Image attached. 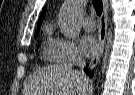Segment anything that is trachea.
<instances>
[{
	"instance_id": "obj_1",
	"label": "trachea",
	"mask_w": 135,
	"mask_h": 95,
	"mask_svg": "<svg viewBox=\"0 0 135 95\" xmlns=\"http://www.w3.org/2000/svg\"><path fill=\"white\" fill-rule=\"evenodd\" d=\"M93 6L98 16L102 14L103 11V3L102 0H92Z\"/></svg>"
}]
</instances>
